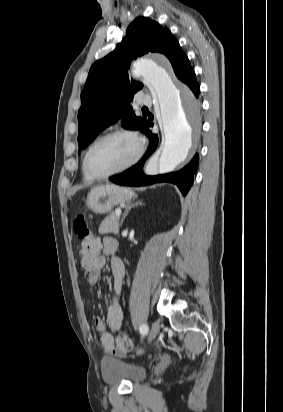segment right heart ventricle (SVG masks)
<instances>
[{
    "instance_id": "obj_1",
    "label": "right heart ventricle",
    "mask_w": 283,
    "mask_h": 412,
    "mask_svg": "<svg viewBox=\"0 0 283 412\" xmlns=\"http://www.w3.org/2000/svg\"><path fill=\"white\" fill-rule=\"evenodd\" d=\"M82 171H83V177L86 181H92V178L88 175V173L86 172L84 165L82 164Z\"/></svg>"
}]
</instances>
